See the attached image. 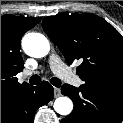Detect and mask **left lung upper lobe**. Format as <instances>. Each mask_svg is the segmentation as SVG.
<instances>
[{
    "label": "left lung upper lobe",
    "instance_id": "left-lung-upper-lobe-1",
    "mask_svg": "<svg viewBox=\"0 0 123 123\" xmlns=\"http://www.w3.org/2000/svg\"><path fill=\"white\" fill-rule=\"evenodd\" d=\"M42 25L69 65L81 62L80 87L123 98V37L112 25L90 13L51 16Z\"/></svg>",
    "mask_w": 123,
    "mask_h": 123
}]
</instances>
